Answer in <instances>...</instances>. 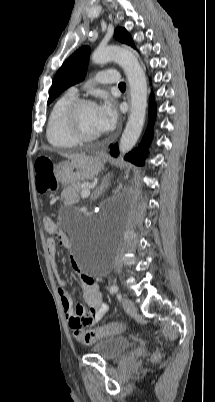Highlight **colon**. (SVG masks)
I'll use <instances>...</instances> for the list:
<instances>
[{
    "mask_svg": "<svg viewBox=\"0 0 215 402\" xmlns=\"http://www.w3.org/2000/svg\"><path fill=\"white\" fill-rule=\"evenodd\" d=\"M53 163V156H40V158L35 161L36 188L43 196H47L57 188V179L54 174ZM43 223L45 228H50L53 224V220L49 217H45ZM124 330L125 325L123 323L112 322L95 329H76L75 335L80 342L91 344L101 338L120 334Z\"/></svg>",
    "mask_w": 215,
    "mask_h": 402,
    "instance_id": "5ec220e1",
    "label": "colon"
}]
</instances>
